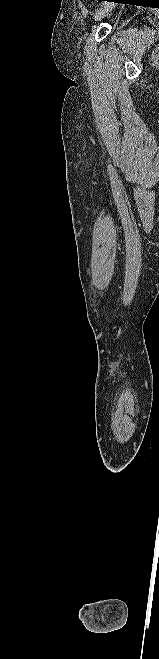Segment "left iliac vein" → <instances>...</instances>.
Masks as SVG:
<instances>
[{
    "label": "left iliac vein",
    "mask_w": 159,
    "mask_h": 659,
    "mask_svg": "<svg viewBox=\"0 0 159 659\" xmlns=\"http://www.w3.org/2000/svg\"><path fill=\"white\" fill-rule=\"evenodd\" d=\"M112 10V6L109 3L103 4L95 13L94 19L95 21H99L102 18H104L106 15L109 14V12Z\"/></svg>",
    "instance_id": "obj_1"
}]
</instances>
